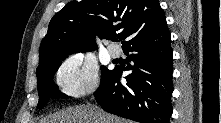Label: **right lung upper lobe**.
Here are the masks:
<instances>
[{
  "instance_id": "right-lung-upper-lobe-1",
  "label": "right lung upper lobe",
  "mask_w": 221,
  "mask_h": 123,
  "mask_svg": "<svg viewBox=\"0 0 221 123\" xmlns=\"http://www.w3.org/2000/svg\"><path fill=\"white\" fill-rule=\"evenodd\" d=\"M157 0H81L67 4L50 21L40 45L38 68L73 52L96 48L95 36L123 41V50L169 34ZM37 68V69H38Z\"/></svg>"
}]
</instances>
